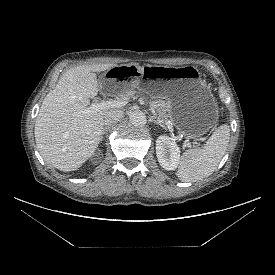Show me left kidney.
<instances>
[{"instance_id": "left-kidney-1", "label": "left kidney", "mask_w": 275, "mask_h": 275, "mask_svg": "<svg viewBox=\"0 0 275 275\" xmlns=\"http://www.w3.org/2000/svg\"><path fill=\"white\" fill-rule=\"evenodd\" d=\"M156 156L162 168L175 170L180 161V149L170 137L161 135L156 141Z\"/></svg>"}]
</instances>
